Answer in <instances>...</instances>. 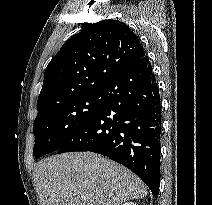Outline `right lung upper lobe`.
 Here are the masks:
<instances>
[{
    "label": "right lung upper lobe",
    "mask_w": 212,
    "mask_h": 205,
    "mask_svg": "<svg viewBox=\"0 0 212 205\" xmlns=\"http://www.w3.org/2000/svg\"><path fill=\"white\" fill-rule=\"evenodd\" d=\"M145 55L137 35L125 23L111 19L87 24L48 64L37 117L79 96L101 92L109 81Z\"/></svg>",
    "instance_id": "obj_1"
}]
</instances>
